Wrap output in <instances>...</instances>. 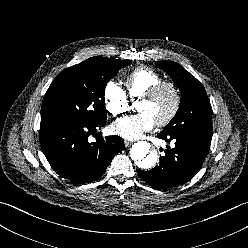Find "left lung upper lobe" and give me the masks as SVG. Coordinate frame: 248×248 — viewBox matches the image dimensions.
Masks as SVG:
<instances>
[{
    "instance_id": "obj_1",
    "label": "left lung upper lobe",
    "mask_w": 248,
    "mask_h": 248,
    "mask_svg": "<svg viewBox=\"0 0 248 248\" xmlns=\"http://www.w3.org/2000/svg\"><path fill=\"white\" fill-rule=\"evenodd\" d=\"M156 67L169 74L182 92L179 109L162 132L212 137V108L203 85L176 62L159 61Z\"/></svg>"
}]
</instances>
